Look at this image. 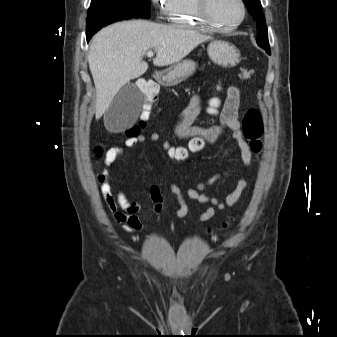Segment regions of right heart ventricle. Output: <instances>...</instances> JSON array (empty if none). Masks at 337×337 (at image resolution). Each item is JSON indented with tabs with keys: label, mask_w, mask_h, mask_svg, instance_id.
I'll list each match as a JSON object with an SVG mask.
<instances>
[{
	"label": "right heart ventricle",
	"mask_w": 337,
	"mask_h": 337,
	"mask_svg": "<svg viewBox=\"0 0 337 337\" xmlns=\"http://www.w3.org/2000/svg\"><path fill=\"white\" fill-rule=\"evenodd\" d=\"M167 15L169 21L175 25L210 30L198 13L196 0H170Z\"/></svg>",
	"instance_id": "right-heart-ventricle-1"
}]
</instances>
